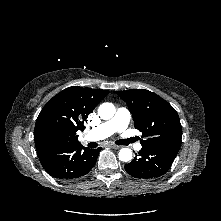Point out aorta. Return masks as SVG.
<instances>
[{"label": "aorta", "mask_w": 221, "mask_h": 221, "mask_svg": "<svg viewBox=\"0 0 221 221\" xmlns=\"http://www.w3.org/2000/svg\"><path fill=\"white\" fill-rule=\"evenodd\" d=\"M115 114V106L112 103H102L98 108V115L103 120L111 119ZM132 159V151L129 148H122L119 151V160L128 162Z\"/></svg>", "instance_id": "obj_1"}]
</instances>
